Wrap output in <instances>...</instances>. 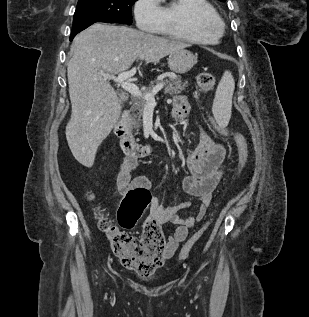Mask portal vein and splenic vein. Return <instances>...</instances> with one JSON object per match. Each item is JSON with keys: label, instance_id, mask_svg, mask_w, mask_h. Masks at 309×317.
<instances>
[{"label": "portal vein and splenic vein", "instance_id": "obj_1", "mask_svg": "<svg viewBox=\"0 0 309 317\" xmlns=\"http://www.w3.org/2000/svg\"><path fill=\"white\" fill-rule=\"evenodd\" d=\"M135 73L136 68H133L129 71L118 74V76L105 73H102V76L106 79H112L113 81L119 83L120 86L132 96L143 97V99L146 101V105L154 106L156 104L155 95L164 87V84H158L150 93H142L136 84L129 81V78H131Z\"/></svg>", "mask_w": 309, "mask_h": 317}]
</instances>
